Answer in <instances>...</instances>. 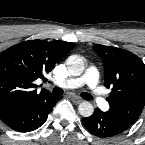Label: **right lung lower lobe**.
Here are the masks:
<instances>
[{"instance_id": "98d812e1", "label": "right lung lower lobe", "mask_w": 145, "mask_h": 145, "mask_svg": "<svg viewBox=\"0 0 145 145\" xmlns=\"http://www.w3.org/2000/svg\"><path fill=\"white\" fill-rule=\"evenodd\" d=\"M61 97L50 95L34 104L8 110L0 115L2 121L18 132L36 130L46 121L48 114Z\"/></svg>"}]
</instances>
